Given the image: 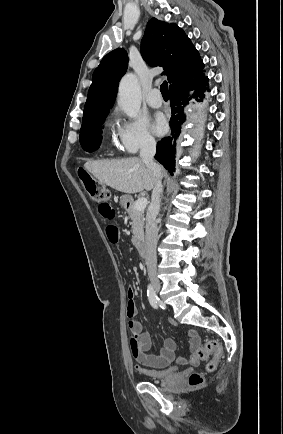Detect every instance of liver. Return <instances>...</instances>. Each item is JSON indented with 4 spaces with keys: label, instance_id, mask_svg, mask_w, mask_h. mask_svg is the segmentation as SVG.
I'll return each instance as SVG.
<instances>
[{
    "label": "liver",
    "instance_id": "1",
    "mask_svg": "<svg viewBox=\"0 0 283 434\" xmlns=\"http://www.w3.org/2000/svg\"><path fill=\"white\" fill-rule=\"evenodd\" d=\"M83 168L100 183L127 194L150 191L156 182L154 172L138 157L87 161Z\"/></svg>",
    "mask_w": 283,
    "mask_h": 434
}]
</instances>
